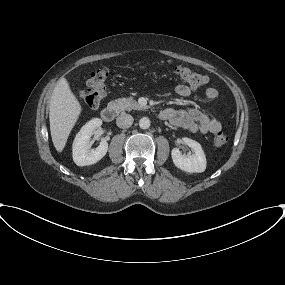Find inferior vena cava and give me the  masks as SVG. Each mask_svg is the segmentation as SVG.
Here are the masks:
<instances>
[{
	"label": "inferior vena cava",
	"instance_id": "obj_1",
	"mask_svg": "<svg viewBox=\"0 0 285 285\" xmlns=\"http://www.w3.org/2000/svg\"><path fill=\"white\" fill-rule=\"evenodd\" d=\"M133 121L134 119L130 114L121 113L116 119V124L120 128H129L132 126Z\"/></svg>",
	"mask_w": 285,
	"mask_h": 285
}]
</instances>
